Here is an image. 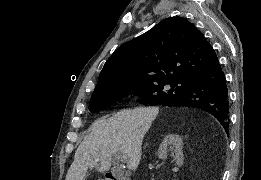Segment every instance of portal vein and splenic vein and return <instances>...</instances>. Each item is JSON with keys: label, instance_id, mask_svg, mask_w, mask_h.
<instances>
[{"label": "portal vein and splenic vein", "instance_id": "obj_1", "mask_svg": "<svg viewBox=\"0 0 261 180\" xmlns=\"http://www.w3.org/2000/svg\"><path fill=\"white\" fill-rule=\"evenodd\" d=\"M121 158H122L121 162H127L126 154H122Z\"/></svg>", "mask_w": 261, "mask_h": 180}]
</instances>
